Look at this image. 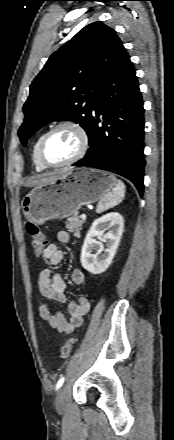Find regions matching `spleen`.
<instances>
[{
  "label": "spleen",
  "instance_id": "obj_1",
  "mask_svg": "<svg viewBox=\"0 0 174 440\" xmlns=\"http://www.w3.org/2000/svg\"><path fill=\"white\" fill-rule=\"evenodd\" d=\"M125 189V184L118 180L115 188L99 201L96 212L102 213L121 203L125 196Z\"/></svg>",
  "mask_w": 174,
  "mask_h": 440
}]
</instances>
